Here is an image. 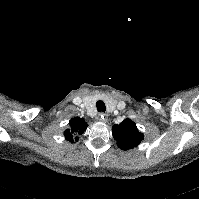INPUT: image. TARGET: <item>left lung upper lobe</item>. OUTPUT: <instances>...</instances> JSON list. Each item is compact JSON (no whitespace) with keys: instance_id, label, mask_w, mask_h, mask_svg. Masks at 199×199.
<instances>
[{"instance_id":"1","label":"left lung upper lobe","mask_w":199,"mask_h":199,"mask_svg":"<svg viewBox=\"0 0 199 199\" xmlns=\"http://www.w3.org/2000/svg\"><path fill=\"white\" fill-rule=\"evenodd\" d=\"M112 134L117 140L118 147L122 150L136 147L143 140V134L138 132L136 124L130 119H125L120 124H115Z\"/></svg>"}]
</instances>
